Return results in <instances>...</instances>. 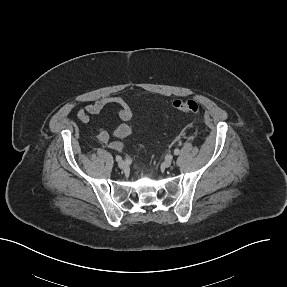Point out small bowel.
I'll use <instances>...</instances> for the list:
<instances>
[{
	"instance_id": "obj_1",
	"label": "small bowel",
	"mask_w": 287,
	"mask_h": 287,
	"mask_svg": "<svg viewBox=\"0 0 287 287\" xmlns=\"http://www.w3.org/2000/svg\"><path fill=\"white\" fill-rule=\"evenodd\" d=\"M109 105H114L116 107L117 114L123 123L112 131L99 129L96 134V140L100 144L107 145L110 149L119 151L124 148L123 140L133 133V113L128 103L123 98L117 96L102 97L97 101L88 104L85 108L78 109L76 111V117L81 122L87 123L93 116L99 114Z\"/></svg>"
}]
</instances>
